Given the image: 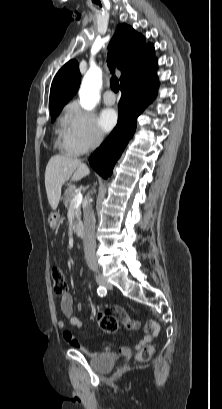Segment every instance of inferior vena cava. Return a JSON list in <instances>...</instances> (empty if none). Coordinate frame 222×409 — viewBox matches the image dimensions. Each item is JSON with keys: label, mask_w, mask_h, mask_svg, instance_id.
<instances>
[{"label": "inferior vena cava", "mask_w": 222, "mask_h": 409, "mask_svg": "<svg viewBox=\"0 0 222 409\" xmlns=\"http://www.w3.org/2000/svg\"><path fill=\"white\" fill-rule=\"evenodd\" d=\"M103 139V136L98 132L95 136L93 144L91 146L94 149ZM84 219V254L85 260L89 268L92 270L97 269V262L95 257L96 238H95V215L91 204H87L83 210Z\"/></svg>", "instance_id": "obj_1"}]
</instances>
